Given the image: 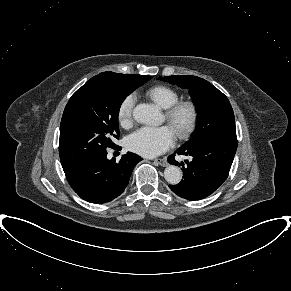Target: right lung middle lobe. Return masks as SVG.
Segmentation results:
<instances>
[{
    "instance_id": "dd1d6c3e",
    "label": "right lung middle lobe",
    "mask_w": 291,
    "mask_h": 291,
    "mask_svg": "<svg viewBox=\"0 0 291 291\" xmlns=\"http://www.w3.org/2000/svg\"><path fill=\"white\" fill-rule=\"evenodd\" d=\"M151 79L129 84L113 80L87 81L67 103L60 125L59 155L64 171L79 161L114 148L118 114L124 99Z\"/></svg>"
}]
</instances>
